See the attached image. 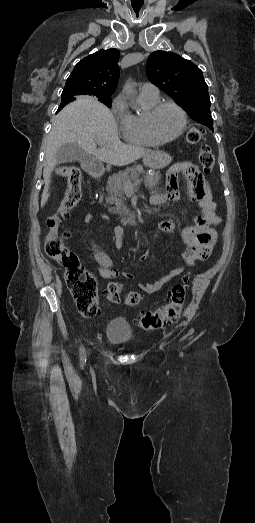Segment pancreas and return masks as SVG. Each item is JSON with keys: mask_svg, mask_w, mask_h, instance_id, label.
Wrapping results in <instances>:
<instances>
[{"mask_svg": "<svg viewBox=\"0 0 255 523\" xmlns=\"http://www.w3.org/2000/svg\"><path fill=\"white\" fill-rule=\"evenodd\" d=\"M140 174H145L142 170V166H133V168H127L124 172H118L114 176L108 178L106 190L109 194V198H106L108 204H115V208H109L108 212L112 214H130V210H127L124 206V184L125 182H133L135 179H139ZM161 178L160 172H153V176L145 174L144 184L148 186L150 190H153L154 186H158Z\"/></svg>", "mask_w": 255, "mask_h": 523, "instance_id": "pancreas-1", "label": "pancreas"}]
</instances>
